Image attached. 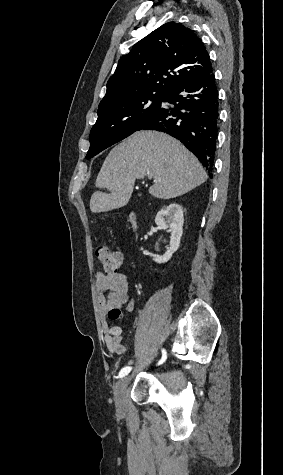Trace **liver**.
Masks as SVG:
<instances>
[{
    "label": "liver",
    "instance_id": "6515ba94",
    "mask_svg": "<svg viewBox=\"0 0 283 475\" xmlns=\"http://www.w3.org/2000/svg\"><path fill=\"white\" fill-rule=\"evenodd\" d=\"M151 176L155 184L149 194L161 200L183 196L207 180L199 160L179 140L163 132H135L108 154L96 180L97 188L111 194L94 192L90 210L94 214L123 208L134 190L135 180Z\"/></svg>",
    "mask_w": 283,
    "mask_h": 475
}]
</instances>
